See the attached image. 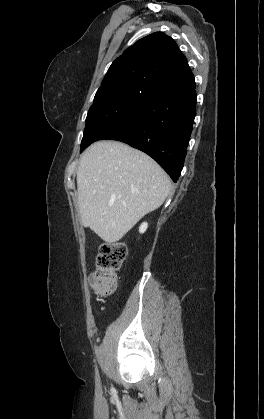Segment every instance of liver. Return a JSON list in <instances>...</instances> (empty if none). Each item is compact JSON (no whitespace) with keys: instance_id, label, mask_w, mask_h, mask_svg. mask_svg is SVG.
Returning a JSON list of instances; mask_svg holds the SVG:
<instances>
[{"instance_id":"liver-1","label":"liver","mask_w":264,"mask_h":419,"mask_svg":"<svg viewBox=\"0 0 264 419\" xmlns=\"http://www.w3.org/2000/svg\"><path fill=\"white\" fill-rule=\"evenodd\" d=\"M166 172L148 155L118 141H99L80 158L77 171L81 222L103 241H119L170 191Z\"/></svg>"}]
</instances>
